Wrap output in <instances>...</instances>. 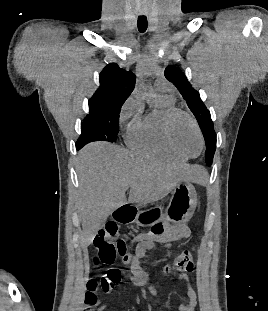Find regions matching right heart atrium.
Segmentation results:
<instances>
[{
    "mask_svg": "<svg viewBox=\"0 0 268 311\" xmlns=\"http://www.w3.org/2000/svg\"><path fill=\"white\" fill-rule=\"evenodd\" d=\"M141 103L137 97H132L128 100V102L124 105L120 118L122 121H125L132 116L138 115L141 112Z\"/></svg>",
    "mask_w": 268,
    "mask_h": 311,
    "instance_id": "obj_1",
    "label": "right heart atrium"
}]
</instances>
